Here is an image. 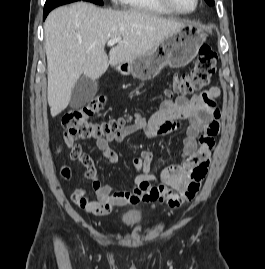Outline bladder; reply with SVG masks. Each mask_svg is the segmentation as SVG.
I'll return each mask as SVG.
<instances>
[{
  "mask_svg": "<svg viewBox=\"0 0 265 269\" xmlns=\"http://www.w3.org/2000/svg\"><path fill=\"white\" fill-rule=\"evenodd\" d=\"M144 217V211L140 208H132L124 211L119 216V222L122 226L133 227L139 224Z\"/></svg>",
  "mask_w": 265,
  "mask_h": 269,
  "instance_id": "31cf9c89",
  "label": "bladder"
}]
</instances>
